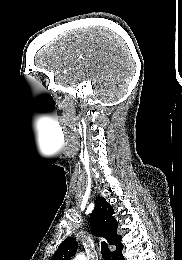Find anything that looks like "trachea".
I'll list each match as a JSON object with an SVG mask.
<instances>
[{
    "mask_svg": "<svg viewBox=\"0 0 182 260\" xmlns=\"http://www.w3.org/2000/svg\"><path fill=\"white\" fill-rule=\"evenodd\" d=\"M101 254L104 260H111V253L106 242H101Z\"/></svg>",
    "mask_w": 182,
    "mask_h": 260,
    "instance_id": "obj_1",
    "label": "trachea"
}]
</instances>
